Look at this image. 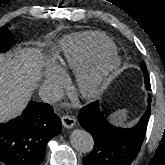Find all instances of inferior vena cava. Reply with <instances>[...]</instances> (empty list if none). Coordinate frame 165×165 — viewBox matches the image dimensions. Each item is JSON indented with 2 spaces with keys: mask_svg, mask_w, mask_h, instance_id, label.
I'll list each match as a JSON object with an SVG mask.
<instances>
[{
  "mask_svg": "<svg viewBox=\"0 0 165 165\" xmlns=\"http://www.w3.org/2000/svg\"><path fill=\"white\" fill-rule=\"evenodd\" d=\"M40 98L46 103H53L62 96V89L59 85L53 83H44L39 89Z\"/></svg>",
  "mask_w": 165,
  "mask_h": 165,
  "instance_id": "inferior-vena-cava-1",
  "label": "inferior vena cava"
}]
</instances>
